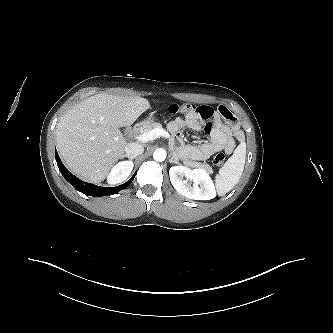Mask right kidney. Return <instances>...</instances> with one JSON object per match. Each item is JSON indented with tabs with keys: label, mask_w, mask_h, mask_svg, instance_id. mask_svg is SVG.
<instances>
[{
	"label": "right kidney",
	"mask_w": 333,
	"mask_h": 333,
	"mask_svg": "<svg viewBox=\"0 0 333 333\" xmlns=\"http://www.w3.org/2000/svg\"><path fill=\"white\" fill-rule=\"evenodd\" d=\"M133 166L132 161H122L116 164L108 175V183L117 184L124 181L130 175Z\"/></svg>",
	"instance_id": "obj_1"
}]
</instances>
